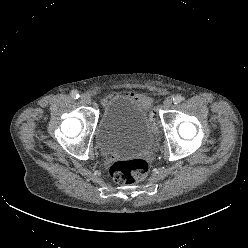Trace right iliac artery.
<instances>
[{
    "label": "right iliac artery",
    "mask_w": 248,
    "mask_h": 248,
    "mask_svg": "<svg viewBox=\"0 0 248 248\" xmlns=\"http://www.w3.org/2000/svg\"><path fill=\"white\" fill-rule=\"evenodd\" d=\"M71 97H72L73 99H78V98H79V93H78V91H77V90H73V91L71 92Z\"/></svg>",
    "instance_id": "obj_1"
}]
</instances>
